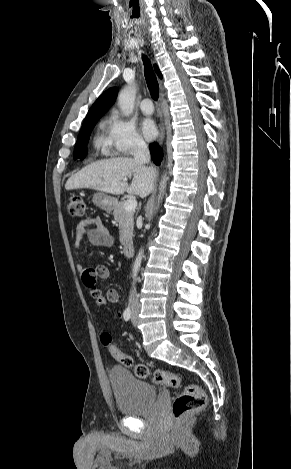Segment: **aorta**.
Segmentation results:
<instances>
[{"mask_svg": "<svg viewBox=\"0 0 291 469\" xmlns=\"http://www.w3.org/2000/svg\"><path fill=\"white\" fill-rule=\"evenodd\" d=\"M135 97H136V89L135 86L129 85L125 86L119 93L118 95V105L119 108L122 112L123 115L129 116L132 114L133 109H134V103H135ZM168 180L167 175L165 174L162 177V180L160 182V188H159V195H158V205L160 203V200L163 198V195L165 193V188H166V182ZM143 253L144 250L141 249L135 259L134 265H133V278L136 277L140 266H141V261L143 258Z\"/></svg>", "mask_w": 291, "mask_h": 469, "instance_id": "762f6f07", "label": "aorta"}]
</instances>
